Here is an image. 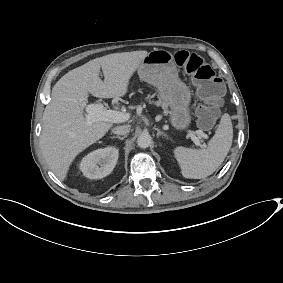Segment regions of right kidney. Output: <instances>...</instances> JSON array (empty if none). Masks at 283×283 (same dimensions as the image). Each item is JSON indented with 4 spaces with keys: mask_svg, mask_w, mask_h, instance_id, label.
I'll use <instances>...</instances> for the list:
<instances>
[{
    "mask_svg": "<svg viewBox=\"0 0 283 283\" xmlns=\"http://www.w3.org/2000/svg\"><path fill=\"white\" fill-rule=\"evenodd\" d=\"M118 160V150L113 147L90 153L81 163L84 176L92 179L103 178L110 174Z\"/></svg>",
    "mask_w": 283,
    "mask_h": 283,
    "instance_id": "ca27d5eb",
    "label": "right kidney"
}]
</instances>
